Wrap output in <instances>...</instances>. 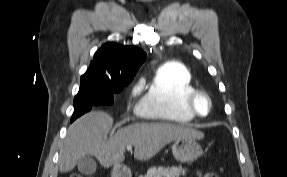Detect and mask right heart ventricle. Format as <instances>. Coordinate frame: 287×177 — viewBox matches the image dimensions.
Wrapping results in <instances>:
<instances>
[{"mask_svg":"<svg viewBox=\"0 0 287 177\" xmlns=\"http://www.w3.org/2000/svg\"><path fill=\"white\" fill-rule=\"evenodd\" d=\"M195 90L191 73L181 64L160 67L148 84L138 106L147 120L165 123H190L194 115L186 106V98Z\"/></svg>","mask_w":287,"mask_h":177,"instance_id":"right-heart-ventricle-1","label":"right heart ventricle"}]
</instances>
